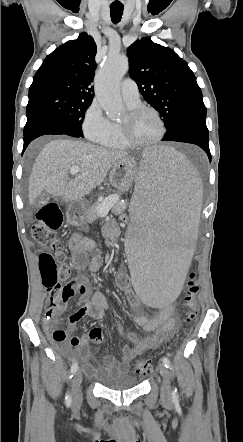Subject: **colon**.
I'll use <instances>...</instances> for the list:
<instances>
[{
	"label": "colon",
	"instance_id": "5ec220e1",
	"mask_svg": "<svg viewBox=\"0 0 243 442\" xmlns=\"http://www.w3.org/2000/svg\"><path fill=\"white\" fill-rule=\"evenodd\" d=\"M38 223H36L31 231L34 241L43 247H47L54 251L55 254L45 252L39 257V269L41 274V282L49 294L48 307L53 309L56 306L66 304L67 300L72 297L77 289L74 282H63L70 277L69 267L62 263L63 255L59 252L60 243L56 238V231L60 229L63 223V213L58 206L57 201L52 200L50 203H44L39 210ZM118 222L128 224V215L126 213L117 214ZM197 267H190L187 272V278L184 283L187 285L186 290L181 292L183 303L186 308L184 322L190 324L198 313L197 295L199 287L196 282ZM52 338L55 341H65L67 335L59 324L52 331ZM133 372L139 375H145L153 371L154 366L151 360L134 357L132 359Z\"/></svg>",
	"mask_w": 243,
	"mask_h": 442
}]
</instances>
